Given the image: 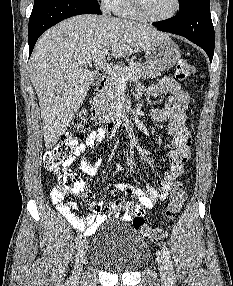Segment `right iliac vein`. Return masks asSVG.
Masks as SVG:
<instances>
[{"label": "right iliac vein", "instance_id": "right-iliac-vein-1", "mask_svg": "<svg viewBox=\"0 0 233 286\" xmlns=\"http://www.w3.org/2000/svg\"><path fill=\"white\" fill-rule=\"evenodd\" d=\"M87 251L86 239L82 240L78 246V251L75 259V265L73 270V280L76 282L80 278L83 263L85 262V256Z\"/></svg>", "mask_w": 233, "mask_h": 286}]
</instances>
